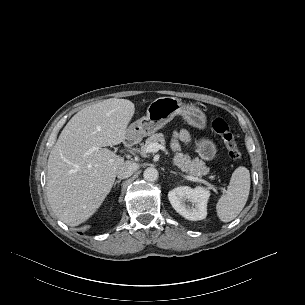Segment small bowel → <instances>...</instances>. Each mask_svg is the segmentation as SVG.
<instances>
[{
    "label": "small bowel",
    "instance_id": "c3829d8e",
    "mask_svg": "<svg viewBox=\"0 0 305 305\" xmlns=\"http://www.w3.org/2000/svg\"><path fill=\"white\" fill-rule=\"evenodd\" d=\"M191 137L186 130H180L174 133L172 147L176 152L181 150L182 145L189 144Z\"/></svg>",
    "mask_w": 305,
    "mask_h": 305
}]
</instances>
